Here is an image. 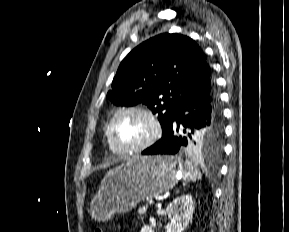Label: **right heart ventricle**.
Segmentation results:
<instances>
[{
    "mask_svg": "<svg viewBox=\"0 0 289 232\" xmlns=\"http://www.w3.org/2000/svg\"><path fill=\"white\" fill-rule=\"evenodd\" d=\"M105 137H106V141H107V145L109 147V149L113 152V153H120L117 149L114 148V146L111 144L110 140H109V137H108V125L106 126V129H105Z\"/></svg>",
    "mask_w": 289,
    "mask_h": 232,
    "instance_id": "obj_1",
    "label": "right heart ventricle"
}]
</instances>
